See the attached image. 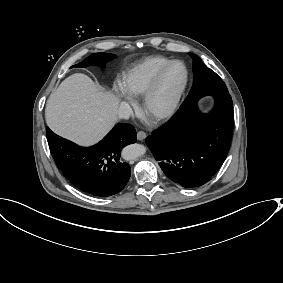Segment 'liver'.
<instances>
[{
  "mask_svg": "<svg viewBox=\"0 0 283 283\" xmlns=\"http://www.w3.org/2000/svg\"><path fill=\"white\" fill-rule=\"evenodd\" d=\"M120 98L100 90L87 75L75 73L50 95L45 119L57 135L79 145L101 140L118 120Z\"/></svg>",
  "mask_w": 283,
  "mask_h": 283,
  "instance_id": "liver-1",
  "label": "liver"
}]
</instances>
